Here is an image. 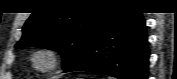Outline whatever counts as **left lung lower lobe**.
<instances>
[{
    "mask_svg": "<svg viewBox=\"0 0 177 79\" xmlns=\"http://www.w3.org/2000/svg\"><path fill=\"white\" fill-rule=\"evenodd\" d=\"M148 59L142 14L110 9L64 72L89 71L118 79H146Z\"/></svg>",
    "mask_w": 177,
    "mask_h": 79,
    "instance_id": "1",
    "label": "left lung lower lobe"
}]
</instances>
